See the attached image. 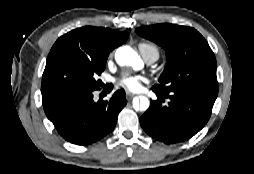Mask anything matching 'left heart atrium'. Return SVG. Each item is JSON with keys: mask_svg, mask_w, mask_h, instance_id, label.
<instances>
[{"mask_svg": "<svg viewBox=\"0 0 254 174\" xmlns=\"http://www.w3.org/2000/svg\"><path fill=\"white\" fill-rule=\"evenodd\" d=\"M145 82L146 78L144 76L134 74H124L117 80L120 87L130 92L140 91Z\"/></svg>", "mask_w": 254, "mask_h": 174, "instance_id": "1", "label": "left heart atrium"}]
</instances>
